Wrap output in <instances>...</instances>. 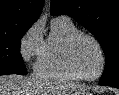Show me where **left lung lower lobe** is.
Returning <instances> with one entry per match:
<instances>
[{
	"mask_svg": "<svg viewBox=\"0 0 119 95\" xmlns=\"http://www.w3.org/2000/svg\"><path fill=\"white\" fill-rule=\"evenodd\" d=\"M101 85V84H100ZM108 86V85H107ZM113 87H116V88H118L119 89V84H117V85H115V86H113Z\"/></svg>",
	"mask_w": 119,
	"mask_h": 95,
	"instance_id": "0a47b994",
	"label": "left lung lower lobe"
}]
</instances>
